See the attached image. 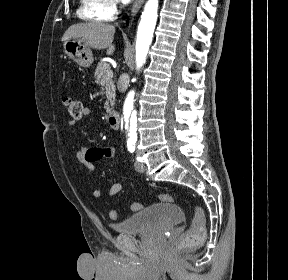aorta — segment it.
I'll list each match as a JSON object with an SVG mask.
<instances>
[{
    "instance_id": "aorta-1",
    "label": "aorta",
    "mask_w": 288,
    "mask_h": 280,
    "mask_svg": "<svg viewBox=\"0 0 288 280\" xmlns=\"http://www.w3.org/2000/svg\"><path fill=\"white\" fill-rule=\"evenodd\" d=\"M158 4V0L147 1L138 25L136 40L137 69H140L146 61L157 22ZM134 94V91H130L125 100L124 111H122L124 120H138L137 106H133ZM122 126H125L126 140H137L138 126H136V121H122Z\"/></svg>"
}]
</instances>
